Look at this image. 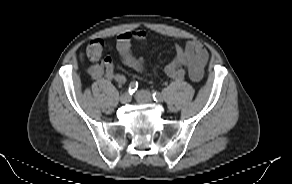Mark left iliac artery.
<instances>
[{"instance_id":"44dca946","label":"left iliac artery","mask_w":292,"mask_h":184,"mask_svg":"<svg viewBox=\"0 0 292 184\" xmlns=\"http://www.w3.org/2000/svg\"><path fill=\"white\" fill-rule=\"evenodd\" d=\"M152 96H153V99L156 102H162L163 101L162 95L159 92H157V91H153Z\"/></svg>"}]
</instances>
